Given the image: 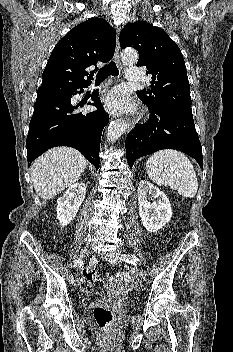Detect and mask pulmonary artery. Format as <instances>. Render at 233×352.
<instances>
[{
	"label": "pulmonary artery",
	"instance_id": "1",
	"mask_svg": "<svg viewBox=\"0 0 233 352\" xmlns=\"http://www.w3.org/2000/svg\"><path fill=\"white\" fill-rule=\"evenodd\" d=\"M126 79L132 82L140 79V71L137 67H130L126 70Z\"/></svg>",
	"mask_w": 233,
	"mask_h": 352
}]
</instances>
